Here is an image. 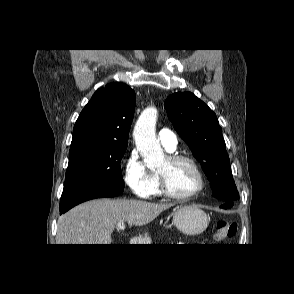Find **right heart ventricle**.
<instances>
[{
    "mask_svg": "<svg viewBox=\"0 0 294 294\" xmlns=\"http://www.w3.org/2000/svg\"><path fill=\"white\" fill-rule=\"evenodd\" d=\"M152 195H161V191H160V188H159V178L158 176L156 175V182L153 186V189H152Z\"/></svg>",
    "mask_w": 294,
    "mask_h": 294,
    "instance_id": "1",
    "label": "right heart ventricle"
}]
</instances>
